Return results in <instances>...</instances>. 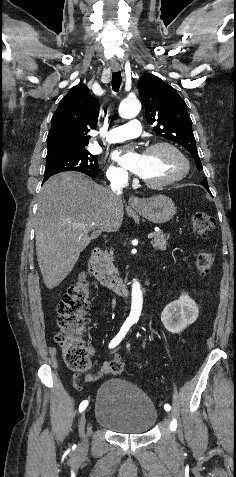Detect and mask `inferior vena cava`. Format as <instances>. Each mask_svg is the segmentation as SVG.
I'll return each instance as SVG.
<instances>
[{
  "label": "inferior vena cava",
  "mask_w": 236,
  "mask_h": 477,
  "mask_svg": "<svg viewBox=\"0 0 236 477\" xmlns=\"http://www.w3.org/2000/svg\"><path fill=\"white\" fill-rule=\"evenodd\" d=\"M126 182L122 178H117L114 179L111 183V191L113 194V199L114 201L118 200L120 198V195L123 192V188L125 187ZM112 215L114 216V212H112ZM114 221H112V224Z\"/></svg>",
  "instance_id": "inferior-vena-cava-1"
}]
</instances>
